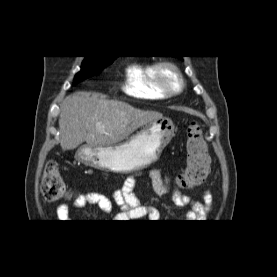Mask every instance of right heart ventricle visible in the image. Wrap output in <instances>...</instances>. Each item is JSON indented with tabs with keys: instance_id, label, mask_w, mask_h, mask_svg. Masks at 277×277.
Here are the masks:
<instances>
[{
	"instance_id": "obj_1",
	"label": "right heart ventricle",
	"mask_w": 277,
	"mask_h": 277,
	"mask_svg": "<svg viewBox=\"0 0 277 277\" xmlns=\"http://www.w3.org/2000/svg\"><path fill=\"white\" fill-rule=\"evenodd\" d=\"M124 91L139 99L162 100L167 98L157 86L153 63H139L130 66L126 70Z\"/></svg>"
}]
</instances>
